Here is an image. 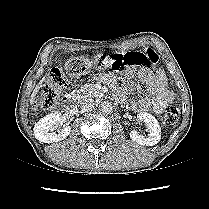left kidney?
<instances>
[{"mask_svg":"<svg viewBox=\"0 0 209 209\" xmlns=\"http://www.w3.org/2000/svg\"><path fill=\"white\" fill-rule=\"evenodd\" d=\"M137 120L143 121L147 125L149 135L145 137L139 132L133 130L130 133L131 139L134 142L145 146H153L157 144L161 139V128L157 119L149 113L141 112L137 114Z\"/></svg>","mask_w":209,"mask_h":209,"instance_id":"obj_1","label":"left kidney"}]
</instances>
